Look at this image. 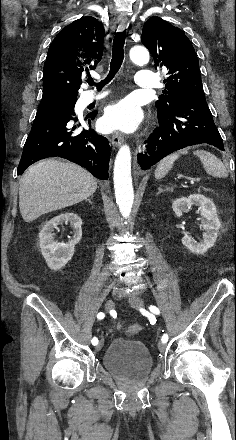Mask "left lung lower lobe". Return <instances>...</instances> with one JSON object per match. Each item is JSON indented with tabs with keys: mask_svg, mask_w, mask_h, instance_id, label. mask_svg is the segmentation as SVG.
<instances>
[{
	"mask_svg": "<svg viewBox=\"0 0 236 440\" xmlns=\"http://www.w3.org/2000/svg\"><path fill=\"white\" fill-rule=\"evenodd\" d=\"M159 127L141 146L138 163L143 170L170 153L187 146L207 143L224 151L204 95L182 99L170 114L158 116Z\"/></svg>",
	"mask_w": 236,
	"mask_h": 440,
	"instance_id": "obj_1",
	"label": "left lung lower lobe"
}]
</instances>
